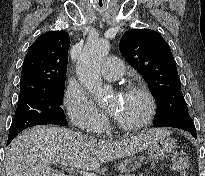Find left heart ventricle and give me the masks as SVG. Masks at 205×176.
Returning a JSON list of instances; mask_svg holds the SVG:
<instances>
[{"label":"left heart ventricle","mask_w":205,"mask_h":176,"mask_svg":"<svg viewBox=\"0 0 205 176\" xmlns=\"http://www.w3.org/2000/svg\"><path fill=\"white\" fill-rule=\"evenodd\" d=\"M110 107L114 117L125 124L134 125L142 121L148 111L146 99L139 93H126L122 97H112Z\"/></svg>","instance_id":"1"}]
</instances>
